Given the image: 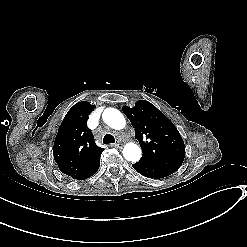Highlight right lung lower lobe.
<instances>
[{
  "label": "right lung lower lobe",
  "instance_id": "1",
  "mask_svg": "<svg viewBox=\"0 0 247 247\" xmlns=\"http://www.w3.org/2000/svg\"><path fill=\"white\" fill-rule=\"evenodd\" d=\"M99 166H100V162H99V164H97V166L85 178H83L81 180H85V179L91 177L92 175H94L95 172L99 169Z\"/></svg>",
  "mask_w": 247,
  "mask_h": 247
}]
</instances>
